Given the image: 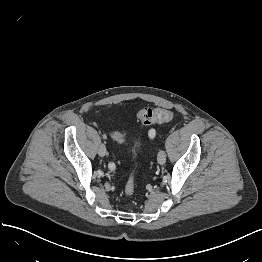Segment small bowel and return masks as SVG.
I'll return each instance as SVG.
<instances>
[{
    "label": "small bowel",
    "instance_id": "c3829d8e",
    "mask_svg": "<svg viewBox=\"0 0 262 262\" xmlns=\"http://www.w3.org/2000/svg\"><path fill=\"white\" fill-rule=\"evenodd\" d=\"M149 135H150L151 138H154V137H155V131H154V130H151V131L149 132ZM114 168H115V167H114ZM114 168H113V167H109V169H111V170H113Z\"/></svg>",
    "mask_w": 262,
    "mask_h": 262
}]
</instances>
